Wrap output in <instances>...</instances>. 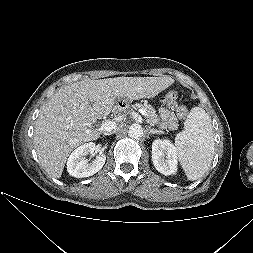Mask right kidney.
<instances>
[{
    "label": "right kidney",
    "mask_w": 253,
    "mask_h": 253,
    "mask_svg": "<svg viewBox=\"0 0 253 253\" xmlns=\"http://www.w3.org/2000/svg\"><path fill=\"white\" fill-rule=\"evenodd\" d=\"M95 151V144L93 142L85 143L76 148L68 158L67 171L71 176L76 178L89 177L96 174L105 164V154H99L92 161L88 163L85 156L93 154Z\"/></svg>",
    "instance_id": "right-kidney-1"
}]
</instances>
